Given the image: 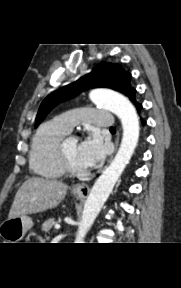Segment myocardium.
Instances as JSON below:
<instances>
[{"label":"myocardium","mask_w":181,"mask_h":288,"mask_svg":"<svg viewBox=\"0 0 181 288\" xmlns=\"http://www.w3.org/2000/svg\"><path fill=\"white\" fill-rule=\"evenodd\" d=\"M71 138H74V136H65L60 141L59 146H58L59 160H60L61 165H62V167L66 173H68L70 175H81L84 173V170L74 167L73 164L68 159V157L65 153V150H64V145H65L66 141L71 139Z\"/></svg>","instance_id":"f54148a6"}]
</instances>
